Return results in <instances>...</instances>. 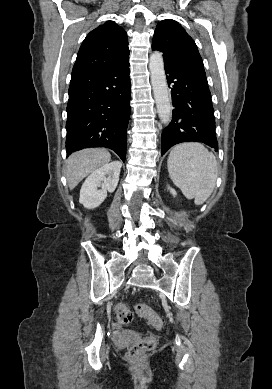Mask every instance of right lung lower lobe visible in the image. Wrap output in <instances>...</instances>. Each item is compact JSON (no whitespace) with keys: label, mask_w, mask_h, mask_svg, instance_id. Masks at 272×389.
Listing matches in <instances>:
<instances>
[{"label":"right lung lower lobe","mask_w":272,"mask_h":389,"mask_svg":"<svg viewBox=\"0 0 272 389\" xmlns=\"http://www.w3.org/2000/svg\"><path fill=\"white\" fill-rule=\"evenodd\" d=\"M129 58L105 69L72 76L66 122L67 154L107 147L125 162L130 116Z\"/></svg>","instance_id":"1"}]
</instances>
